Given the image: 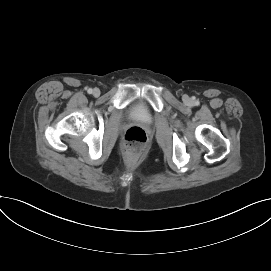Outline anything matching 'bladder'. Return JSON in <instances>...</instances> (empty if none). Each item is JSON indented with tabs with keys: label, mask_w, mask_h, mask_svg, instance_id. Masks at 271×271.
<instances>
[{
	"label": "bladder",
	"mask_w": 271,
	"mask_h": 271,
	"mask_svg": "<svg viewBox=\"0 0 271 271\" xmlns=\"http://www.w3.org/2000/svg\"><path fill=\"white\" fill-rule=\"evenodd\" d=\"M130 117L141 122H150L152 119L148 109L141 104H137L131 108Z\"/></svg>",
	"instance_id": "obj_1"
}]
</instances>
